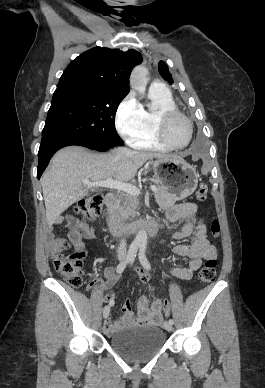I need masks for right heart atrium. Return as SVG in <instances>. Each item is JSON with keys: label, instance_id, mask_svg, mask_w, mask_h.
I'll list each match as a JSON object with an SVG mask.
<instances>
[{"label": "right heart atrium", "instance_id": "right-heart-atrium-1", "mask_svg": "<svg viewBox=\"0 0 265 388\" xmlns=\"http://www.w3.org/2000/svg\"><path fill=\"white\" fill-rule=\"evenodd\" d=\"M120 134L127 141H132L144 128V110L133 94H129L120 104L117 117Z\"/></svg>", "mask_w": 265, "mask_h": 388}]
</instances>
